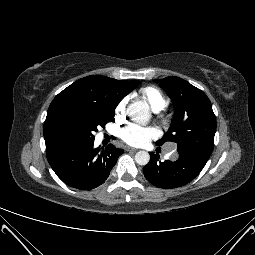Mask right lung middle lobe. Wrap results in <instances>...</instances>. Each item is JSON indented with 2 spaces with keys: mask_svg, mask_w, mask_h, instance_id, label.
Wrapping results in <instances>:
<instances>
[{
  "mask_svg": "<svg viewBox=\"0 0 255 255\" xmlns=\"http://www.w3.org/2000/svg\"><path fill=\"white\" fill-rule=\"evenodd\" d=\"M139 81L131 82L130 91H132ZM114 108L101 107L97 105L89 106L77 112L72 122V133L74 140L93 141V132H97V127H104L106 123L113 121Z\"/></svg>",
  "mask_w": 255,
  "mask_h": 255,
  "instance_id": "obj_1",
  "label": "right lung middle lobe"
}]
</instances>
